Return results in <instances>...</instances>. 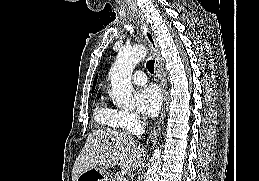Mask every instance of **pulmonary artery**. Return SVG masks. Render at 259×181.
<instances>
[{
    "mask_svg": "<svg viewBox=\"0 0 259 181\" xmlns=\"http://www.w3.org/2000/svg\"><path fill=\"white\" fill-rule=\"evenodd\" d=\"M132 81L137 85H143L147 82V78L143 71H137L133 74Z\"/></svg>",
    "mask_w": 259,
    "mask_h": 181,
    "instance_id": "e3ab8cb5",
    "label": "pulmonary artery"
}]
</instances>
